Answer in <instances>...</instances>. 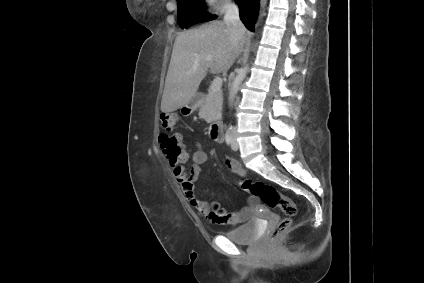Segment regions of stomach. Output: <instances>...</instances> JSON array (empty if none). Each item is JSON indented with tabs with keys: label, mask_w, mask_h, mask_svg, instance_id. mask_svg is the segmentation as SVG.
<instances>
[{
	"label": "stomach",
	"mask_w": 424,
	"mask_h": 283,
	"mask_svg": "<svg viewBox=\"0 0 424 283\" xmlns=\"http://www.w3.org/2000/svg\"><path fill=\"white\" fill-rule=\"evenodd\" d=\"M195 108V103H193V104H187V105H184V106H182L181 107V113L182 114H186L185 113V110H190V111H192L193 109Z\"/></svg>",
	"instance_id": "1"
}]
</instances>
